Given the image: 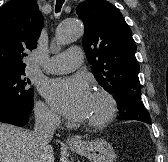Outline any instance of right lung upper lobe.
I'll use <instances>...</instances> for the list:
<instances>
[{
    "label": "right lung upper lobe",
    "instance_id": "obj_1",
    "mask_svg": "<svg viewBox=\"0 0 168 162\" xmlns=\"http://www.w3.org/2000/svg\"><path fill=\"white\" fill-rule=\"evenodd\" d=\"M42 24L35 0H11L0 8V75L24 72L26 52L36 48Z\"/></svg>",
    "mask_w": 168,
    "mask_h": 162
}]
</instances>
